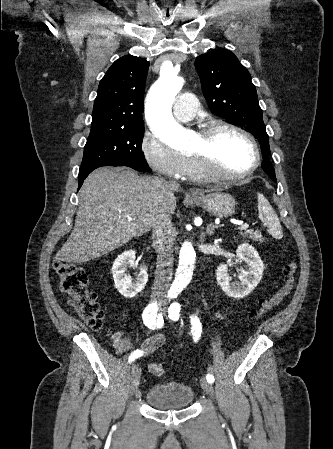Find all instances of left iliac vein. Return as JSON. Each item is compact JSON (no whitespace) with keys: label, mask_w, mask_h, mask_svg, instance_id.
<instances>
[{"label":"left iliac vein","mask_w":333,"mask_h":449,"mask_svg":"<svg viewBox=\"0 0 333 449\" xmlns=\"http://www.w3.org/2000/svg\"><path fill=\"white\" fill-rule=\"evenodd\" d=\"M163 312H165V309H162ZM200 384L202 389L208 394L209 396L213 397L214 395V389L210 382H208L205 378H201Z\"/></svg>","instance_id":"left-iliac-vein-1"}]
</instances>
